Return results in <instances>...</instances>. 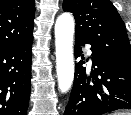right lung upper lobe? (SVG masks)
I'll return each instance as SVG.
<instances>
[{
    "label": "right lung upper lobe",
    "mask_w": 131,
    "mask_h": 115,
    "mask_svg": "<svg viewBox=\"0 0 131 115\" xmlns=\"http://www.w3.org/2000/svg\"><path fill=\"white\" fill-rule=\"evenodd\" d=\"M34 0H0V50L33 38Z\"/></svg>",
    "instance_id": "cb5924a9"
}]
</instances>
